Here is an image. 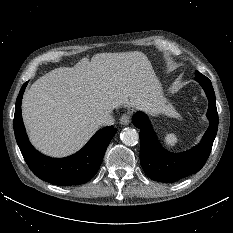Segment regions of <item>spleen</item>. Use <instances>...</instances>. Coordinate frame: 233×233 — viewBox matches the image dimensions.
Here are the masks:
<instances>
[{
	"mask_svg": "<svg viewBox=\"0 0 233 233\" xmlns=\"http://www.w3.org/2000/svg\"><path fill=\"white\" fill-rule=\"evenodd\" d=\"M164 144L168 147V148H173L177 142H178V138L174 133H167L164 136Z\"/></svg>",
	"mask_w": 233,
	"mask_h": 233,
	"instance_id": "1",
	"label": "spleen"
}]
</instances>
